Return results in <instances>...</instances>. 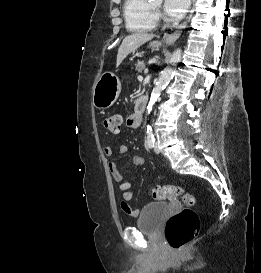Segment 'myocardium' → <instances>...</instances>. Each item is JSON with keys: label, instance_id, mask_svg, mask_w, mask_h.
<instances>
[{"label": "myocardium", "instance_id": "obj_1", "mask_svg": "<svg viewBox=\"0 0 261 273\" xmlns=\"http://www.w3.org/2000/svg\"><path fill=\"white\" fill-rule=\"evenodd\" d=\"M152 7H153L154 12H158L159 11L158 8H156L154 6H152Z\"/></svg>", "mask_w": 261, "mask_h": 273}]
</instances>
